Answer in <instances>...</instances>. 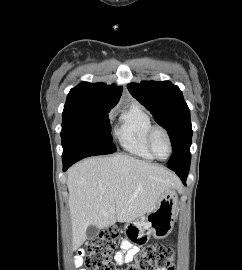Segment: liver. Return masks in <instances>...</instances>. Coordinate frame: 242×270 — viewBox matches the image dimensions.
I'll use <instances>...</instances> for the list:
<instances>
[{
	"label": "liver",
	"instance_id": "1",
	"mask_svg": "<svg viewBox=\"0 0 242 270\" xmlns=\"http://www.w3.org/2000/svg\"><path fill=\"white\" fill-rule=\"evenodd\" d=\"M73 245L86 240L89 225L99 229L133 221L155 209L168 189H180L178 178L164 167L128 155L91 157L68 171Z\"/></svg>",
	"mask_w": 242,
	"mask_h": 270
}]
</instances>
